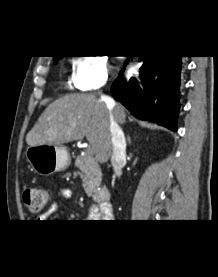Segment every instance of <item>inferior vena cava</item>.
Here are the masks:
<instances>
[{
    "label": "inferior vena cava",
    "mask_w": 218,
    "mask_h": 277,
    "mask_svg": "<svg viewBox=\"0 0 218 277\" xmlns=\"http://www.w3.org/2000/svg\"><path fill=\"white\" fill-rule=\"evenodd\" d=\"M101 100L107 104L110 112V132L112 142L111 164L114 175L120 177L122 168L126 164V141L124 133L118 124L117 105L107 95L101 94Z\"/></svg>",
    "instance_id": "obj_1"
}]
</instances>
